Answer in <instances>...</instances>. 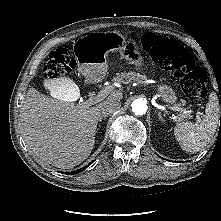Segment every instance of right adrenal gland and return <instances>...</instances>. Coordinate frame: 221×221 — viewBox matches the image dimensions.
I'll return each instance as SVG.
<instances>
[{"label": "right adrenal gland", "instance_id": "2a0ac1e0", "mask_svg": "<svg viewBox=\"0 0 221 221\" xmlns=\"http://www.w3.org/2000/svg\"><path fill=\"white\" fill-rule=\"evenodd\" d=\"M103 118H106V116H104V115L100 116L99 122H101Z\"/></svg>", "mask_w": 221, "mask_h": 221}]
</instances>
